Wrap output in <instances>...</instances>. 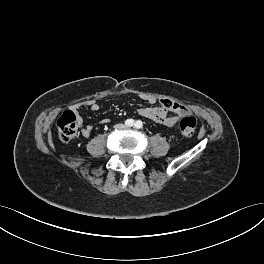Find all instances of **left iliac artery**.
I'll return each mask as SVG.
<instances>
[{"label":"left iliac artery","instance_id":"obj_1","mask_svg":"<svg viewBox=\"0 0 264 264\" xmlns=\"http://www.w3.org/2000/svg\"><path fill=\"white\" fill-rule=\"evenodd\" d=\"M142 126H143L142 121L137 120L136 123H135V127H136L137 129H140V128H142Z\"/></svg>","mask_w":264,"mask_h":264}]
</instances>
